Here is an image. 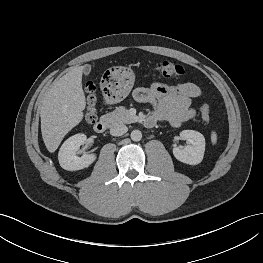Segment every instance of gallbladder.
<instances>
[{
  "instance_id": "bac80fb5",
  "label": "gallbladder",
  "mask_w": 263,
  "mask_h": 263,
  "mask_svg": "<svg viewBox=\"0 0 263 263\" xmlns=\"http://www.w3.org/2000/svg\"><path fill=\"white\" fill-rule=\"evenodd\" d=\"M90 72H91V66H90V65H85V66L83 67V74H84L85 76H88V75L90 74Z\"/></svg>"
}]
</instances>
